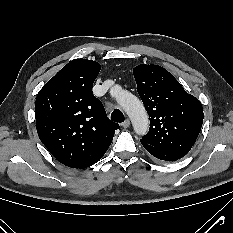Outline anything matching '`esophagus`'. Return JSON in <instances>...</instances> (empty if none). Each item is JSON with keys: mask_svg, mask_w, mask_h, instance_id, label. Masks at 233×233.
I'll return each mask as SVG.
<instances>
[{"mask_svg": "<svg viewBox=\"0 0 233 233\" xmlns=\"http://www.w3.org/2000/svg\"><path fill=\"white\" fill-rule=\"evenodd\" d=\"M123 128H128L130 126V120L126 119L123 123H121Z\"/></svg>", "mask_w": 233, "mask_h": 233, "instance_id": "34e87169", "label": "esophagus"}]
</instances>
